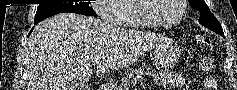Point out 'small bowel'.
I'll list each match as a JSON object with an SVG mask.
<instances>
[{
  "instance_id": "c3829d8e",
  "label": "small bowel",
  "mask_w": 237,
  "mask_h": 90,
  "mask_svg": "<svg viewBox=\"0 0 237 90\" xmlns=\"http://www.w3.org/2000/svg\"><path fill=\"white\" fill-rule=\"evenodd\" d=\"M200 69L209 73L212 69L211 63H202ZM154 82L157 86L169 90H181L184 85L183 76L175 71L162 70L160 71L154 79ZM204 90H216L215 81L211 77H207L203 82Z\"/></svg>"
}]
</instances>
